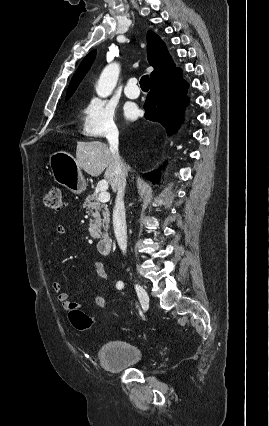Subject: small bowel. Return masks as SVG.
<instances>
[{
    "label": "small bowel",
    "instance_id": "c3829d8e",
    "mask_svg": "<svg viewBox=\"0 0 269 426\" xmlns=\"http://www.w3.org/2000/svg\"><path fill=\"white\" fill-rule=\"evenodd\" d=\"M55 234L58 237L66 236L67 235L66 226L65 225H58L55 229ZM42 257L44 259H46V254H45L44 251H42ZM92 270H93L94 274H96L104 282L109 281V276H108V273H107L103 263H101V262L93 263ZM118 283L123 284V282H118ZM51 286H52L54 293L56 294L57 300L59 301V303L61 304V306L65 310H70L72 308H77V307L81 306V304H79L77 302H73L69 299L68 294L62 290L61 284L58 281H53ZM123 286H124V284H123ZM92 305L105 308V307L109 306V300L104 298V297L97 296V297L93 298Z\"/></svg>",
    "mask_w": 269,
    "mask_h": 426
}]
</instances>
